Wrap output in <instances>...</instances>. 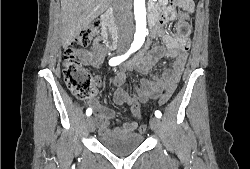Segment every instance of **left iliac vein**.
Wrapping results in <instances>:
<instances>
[{
  "label": "left iliac vein",
  "mask_w": 250,
  "mask_h": 169,
  "mask_svg": "<svg viewBox=\"0 0 250 169\" xmlns=\"http://www.w3.org/2000/svg\"><path fill=\"white\" fill-rule=\"evenodd\" d=\"M149 123H150L151 129L154 130L157 135H159V136L163 135L162 134V124L158 118L152 117L150 119Z\"/></svg>",
  "instance_id": "obj_1"
}]
</instances>
